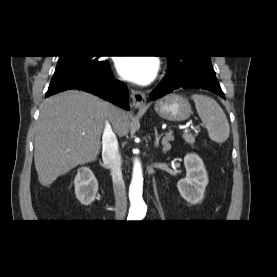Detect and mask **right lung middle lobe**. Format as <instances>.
<instances>
[{
  "label": "right lung middle lobe",
  "mask_w": 277,
  "mask_h": 277,
  "mask_svg": "<svg viewBox=\"0 0 277 277\" xmlns=\"http://www.w3.org/2000/svg\"><path fill=\"white\" fill-rule=\"evenodd\" d=\"M108 64V61L101 60L100 56H59L49 89L95 78Z\"/></svg>",
  "instance_id": "1"
}]
</instances>
